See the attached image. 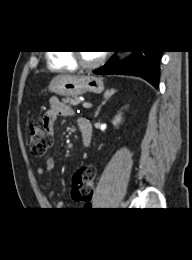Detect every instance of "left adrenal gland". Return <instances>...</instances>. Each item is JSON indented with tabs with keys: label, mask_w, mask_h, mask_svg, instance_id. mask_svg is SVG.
<instances>
[{
	"label": "left adrenal gland",
	"mask_w": 192,
	"mask_h": 260,
	"mask_svg": "<svg viewBox=\"0 0 192 260\" xmlns=\"http://www.w3.org/2000/svg\"><path fill=\"white\" fill-rule=\"evenodd\" d=\"M116 93V90L111 89V90H107L104 93V101L101 103V105H99L97 111L95 112V118L99 115L100 109L101 107L106 103V101H108V99H110V97H112V95H114Z\"/></svg>",
	"instance_id": "obj_1"
}]
</instances>
